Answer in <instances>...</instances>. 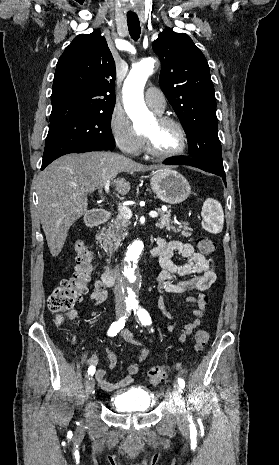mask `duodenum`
I'll return each mask as SVG.
<instances>
[{"label":"duodenum","mask_w":279,"mask_h":465,"mask_svg":"<svg viewBox=\"0 0 279 465\" xmlns=\"http://www.w3.org/2000/svg\"><path fill=\"white\" fill-rule=\"evenodd\" d=\"M110 217L111 214L109 211L99 210L89 214L87 216L86 221L89 226L97 227L106 223L110 219ZM152 254L154 256L157 255L155 250L152 251ZM101 278L107 286H112L114 284L113 272L109 266L104 267Z\"/></svg>","instance_id":"1"}]
</instances>
